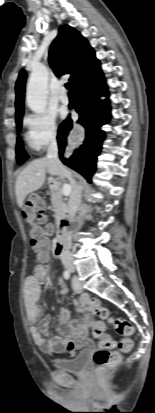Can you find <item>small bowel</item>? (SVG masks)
I'll return each instance as SVG.
<instances>
[{
	"label": "small bowel",
	"mask_w": 155,
	"mask_h": 413,
	"mask_svg": "<svg viewBox=\"0 0 155 413\" xmlns=\"http://www.w3.org/2000/svg\"><path fill=\"white\" fill-rule=\"evenodd\" d=\"M50 253L44 259L39 260L45 263L49 260ZM47 271L43 264L35 266L33 274L25 279L26 294L24 299L25 311L28 323L30 324V333L34 343L44 353L50 355L66 354L73 356L77 351L83 348H89L93 345L92 340L88 337V329H93V334L99 338L97 329H100L104 336L110 341V346L114 344L113 339L105 333V323L94 320L88 314L86 305L90 298L87 294L79 296L75 301L77 311L81 314L79 318L69 321L72 310L64 308L60 311L56 335H50L49 327L51 323L50 316H44L43 310L39 305L42 296V288L46 279ZM63 295L68 293L66 288H62Z\"/></svg>",
	"instance_id": "1"
}]
</instances>
